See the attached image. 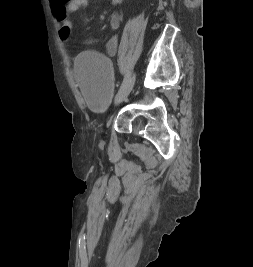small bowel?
Listing matches in <instances>:
<instances>
[{"instance_id": "1", "label": "small bowel", "mask_w": 253, "mask_h": 267, "mask_svg": "<svg viewBox=\"0 0 253 267\" xmlns=\"http://www.w3.org/2000/svg\"><path fill=\"white\" fill-rule=\"evenodd\" d=\"M112 4H119L121 0H106ZM89 0H50V7L54 17L62 24L71 28L72 15L81 8L87 7ZM121 15L118 12L111 14L109 26L113 33L108 38L105 49L109 55H115L119 46L118 29L120 27ZM61 26V27H62Z\"/></svg>"}]
</instances>
